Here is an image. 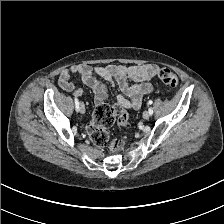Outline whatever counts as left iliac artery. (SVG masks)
<instances>
[{"instance_id":"obj_1","label":"left iliac artery","mask_w":224,"mask_h":224,"mask_svg":"<svg viewBox=\"0 0 224 224\" xmlns=\"http://www.w3.org/2000/svg\"><path fill=\"white\" fill-rule=\"evenodd\" d=\"M153 102L150 100V101H148V104L149 105H151ZM148 111H149V113H150V115H152L153 114V109L150 107L149 109H148Z\"/></svg>"}]
</instances>
